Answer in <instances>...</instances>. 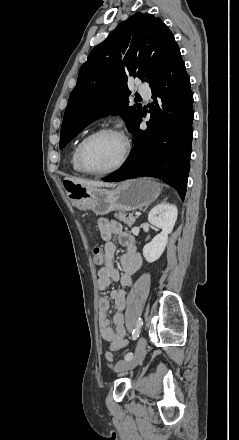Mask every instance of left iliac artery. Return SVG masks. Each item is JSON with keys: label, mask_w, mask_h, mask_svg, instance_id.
<instances>
[{"label": "left iliac artery", "mask_w": 239, "mask_h": 440, "mask_svg": "<svg viewBox=\"0 0 239 440\" xmlns=\"http://www.w3.org/2000/svg\"><path fill=\"white\" fill-rule=\"evenodd\" d=\"M142 325H143V321H142L141 318H139V319L137 320V322H136L135 329H134L133 332H132V339H133V340H136V339L139 337V334H140V331H141ZM132 357H133V353H132V352H129V353H127V354L124 356V359H125V360H130Z\"/></svg>", "instance_id": "obj_1"}]
</instances>
